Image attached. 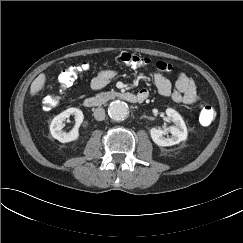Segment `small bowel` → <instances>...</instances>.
I'll use <instances>...</instances> for the list:
<instances>
[{
    "label": "small bowel",
    "instance_id": "c3829d8e",
    "mask_svg": "<svg viewBox=\"0 0 243 243\" xmlns=\"http://www.w3.org/2000/svg\"><path fill=\"white\" fill-rule=\"evenodd\" d=\"M115 76L116 72L114 70H103L92 79L91 88L93 90H101ZM153 81L160 95L170 97L176 103L192 105L200 99L195 83L185 73L181 72L178 74L174 87H172L170 80L160 72L153 73ZM138 94L147 98L149 92L146 89H142Z\"/></svg>",
    "mask_w": 243,
    "mask_h": 243
}]
</instances>
